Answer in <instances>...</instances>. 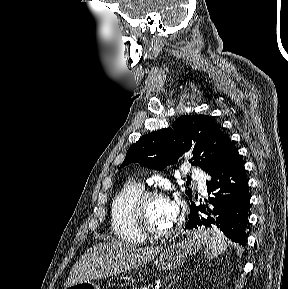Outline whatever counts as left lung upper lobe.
I'll use <instances>...</instances> for the list:
<instances>
[{
    "label": "left lung upper lobe",
    "instance_id": "obj_1",
    "mask_svg": "<svg viewBox=\"0 0 288 289\" xmlns=\"http://www.w3.org/2000/svg\"><path fill=\"white\" fill-rule=\"evenodd\" d=\"M228 140V135L211 117L181 116L172 124V128L146 134L131 145L120 168L138 162L162 170L176 163L184 152L193 147V156L189 161L207 172ZM185 193L190 195L191 189Z\"/></svg>",
    "mask_w": 288,
    "mask_h": 289
}]
</instances>
